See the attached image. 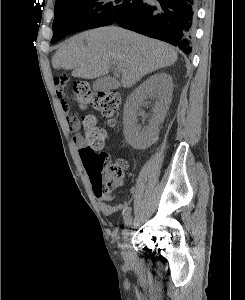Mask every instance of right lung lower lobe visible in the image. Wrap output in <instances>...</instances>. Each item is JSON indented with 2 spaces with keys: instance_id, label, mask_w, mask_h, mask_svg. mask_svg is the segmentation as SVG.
I'll list each match as a JSON object with an SVG mask.
<instances>
[{
  "instance_id": "1",
  "label": "right lung lower lobe",
  "mask_w": 245,
  "mask_h": 300,
  "mask_svg": "<svg viewBox=\"0 0 245 300\" xmlns=\"http://www.w3.org/2000/svg\"><path fill=\"white\" fill-rule=\"evenodd\" d=\"M195 11L196 0L143 1L136 10L115 23L123 28L168 42L190 55ZM57 27L64 29L69 25L65 21H59Z\"/></svg>"
}]
</instances>
